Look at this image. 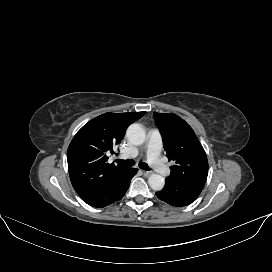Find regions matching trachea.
<instances>
[{
	"instance_id": "obj_1",
	"label": "trachea",
	"mask_w": 272,
	"mask_h": 272,
	"mask_svg": "<svg viewBox=\"0 0 272 272\" xmlns=\"http://www.w3.org/2000/svg\"><path fill=\"white\" fill-rule=\"evenodd\" d=\"M116 162L123 167H131L135 164L133 160H129V159L128 160L117 159ZM139 167L146 171L150 170L149 166L144 162H140Z\"/></svg>"
}]
</instances>
